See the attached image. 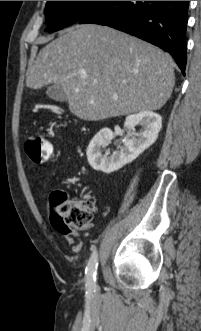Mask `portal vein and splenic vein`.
<instances>
[{"instance_id": "18ae733b", "label": "portal vein and splenic vein", "mask_w": 201, "mask_h": 331, "mask_svg": "<svg viewBox=\"0 0 201 331\" xmlns=\"http://www.w3.org/2000/svg\"><path fill=\"white\" fill-rule=\"evenodd\" d=\"M81 77H82L83 79H85V78H86V75H85V74H82Z\"/></svg>"}]
</instances>
